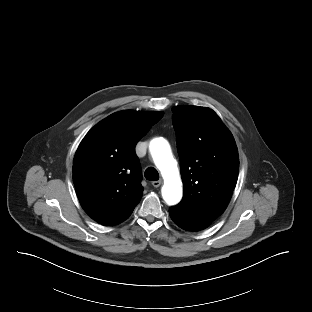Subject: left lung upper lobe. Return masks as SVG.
<instances>
[{
  "mask_svg": "<svg viewBox=\"0 0 312 312\" xmlns=\"http://www.w3.org/2000/svg\"><path fill=\"white\" fill-rule=\"evenodd\" d=\"M172 111L184 186L183 199L175 208L211 223L225 211L236 186L235 140L209 108L183 105Z\"/></svg>",
  "mask_w": 312,
  "mask_h": 312,
  "instance_id": "1",
  "label": "left lung upper lobe"
}]
</instances>
